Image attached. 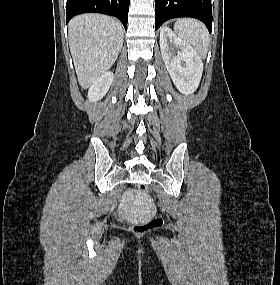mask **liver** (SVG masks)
<instances>
[{
    "label": "liver",
    "mask_w": 280,
    "mask_h": 285,
    "mask_svg": "<svg viewBox=\"0 0 280 285\" xmlns=\"http://www.w3.org/2000/svg\"><path fill=\"white\" fill-rule=\"evenodd\" d=\"M124 30L114 18L101 14L74 17L68 38L78 82L89 87L115 63L123 45Z\"/></svg>",
    "instance_id": "1"
}]
</instances>
